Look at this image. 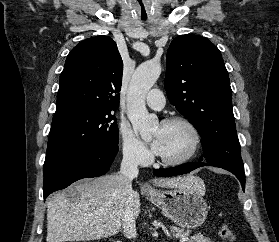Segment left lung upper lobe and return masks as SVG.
Instances as JSON below:
<instances>
[{"instance_id": "1", "label": "left lung upper lobe", "mask_w": 279, "mask_h": 242, "mask_svg": "<svg viewBox=\"0 0 279 242\" xmlns=\"http://www.w3.org/2000/svg\"><path fill=\"white\" fill-rule=\"evenodd\" d=\"M165 89L200 134L203 157L244 171L229 75L219 49L199 35L176 37L167 53Z\"/></svg>"}]
</instances>
